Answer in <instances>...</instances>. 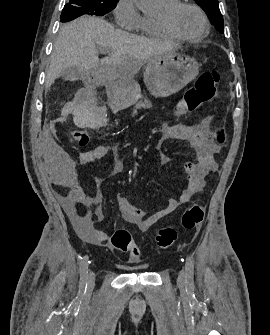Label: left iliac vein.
Segmentation results:
<instances>
[{
	"label": "left iliac vein",
	"instance_id": "obj_1",
	"mask_svg": "<svg viewBox=\"0 0 270 335\" xmlns=\"http://www.w3.org/2000/svg\"><path fill=\"white\" fill-rule=\"evenodd\" d=\"M177 283L180 287H184L186 285V272L184 269L179 272Z\"/></svg>",
	"mask_w": 270,
	"mask_h": 335
}]
</instances>
